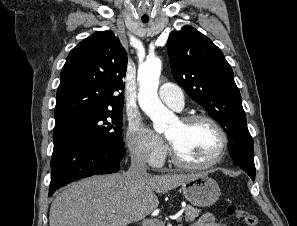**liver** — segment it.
<instances>
[{"label": "liver", "mask_w": 297, "mask_h": 226, "mask_svg": "<svg viewBox=\"0 0 297 226\" xmlns=\"http://www.w3.org/2000/svg\"><path fill=\"white\" fill-rule=\"evenodd\" d=\"M197 174L98 175L68 185L53 200L49 226H127L155 210L166 193Z\"/></svg>", "instance_id": "6515ba94"}]
</instances>
